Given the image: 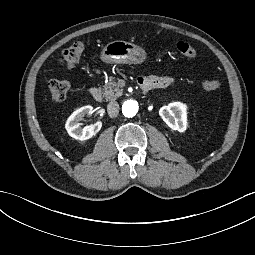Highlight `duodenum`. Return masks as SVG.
Segmentation results:
<instances>
[{"label":"duodenum","instance_id":"duodenum-1","mask_svg":"<svg viewBox=\"0 0 255 255\" xmlns=\"http://www.w3.org/2000/svg\"><path fill=\"white\" fill-rule=\"evenodd\" d=\"M139 83V87L141 88L142 91L144 92H148L152 87L153 84L151 81L144 79V78H140L138 80ZM89 94L92 96L93 99H95L96 101H100L102 99V91L100 88L98 87H92L89 89Z\"/></svg>","mask_w":255,"mask_h":255}]
</instances>
